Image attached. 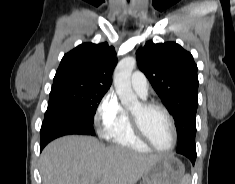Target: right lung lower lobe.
<instances>
[{
    "label": "right lung lower lobe",
    "mask_w": 235,
    "mask_h": 184,
    "mask_svg": "<svg viewBox=\"0 0 235 184\" xmlns=\"http://www.w3.org/2000/svg\"><path fill=\"white\" fill-rule=\"evenodd\" d=\"M69 134L95 135L93 125L66 105L49 101L40 136V151L52 140Z\"/></svg>",
    "instance_id": "right-lung-lower-lobe-1"
}]
</instances>
